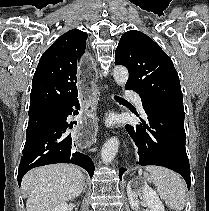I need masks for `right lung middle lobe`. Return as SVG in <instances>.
Instances as JSON below:
<instances>
[{"label": "right lung middle lobe", "instance_id": "obj_1", "mask_svg": "<svg viewBox=\"0 0 209 211\" xmlns=\"http://www.w3.org/2000/svg\"><path fill=\"white\" fill-rule=\"evenodd\" d=\"M57 109H43L29 112V122L26 131V139L40 129L50 118L53 117Z\"/></svg>", "mask_w": 209, "mask_h": 211}]
</instances>
